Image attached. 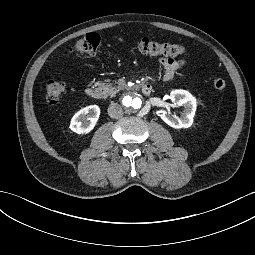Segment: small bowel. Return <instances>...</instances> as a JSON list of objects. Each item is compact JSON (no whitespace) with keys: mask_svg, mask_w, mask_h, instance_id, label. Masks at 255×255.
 I'll list each match as a JSON object with an SVG mask.
<instances>
[{"mask_svg":"<svg viewBox=\"0 0 255 255\" xmlns=\"http://www.w3.org/2000/svg\"><path fill=\"white\" fill-rule=\"evenodd\" d=\"M158 63L164 70V81H171L177 72L185 65V61L183 59H176L172 57H161L158 59Z\"/></svg>","mask_w":255,"mask_h":255,"instance_id":"obj_1","label":"small bowel"}]
</instances>
